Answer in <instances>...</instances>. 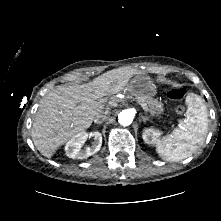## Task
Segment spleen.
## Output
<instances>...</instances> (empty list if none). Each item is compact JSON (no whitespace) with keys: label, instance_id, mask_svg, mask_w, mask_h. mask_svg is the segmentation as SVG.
<instances>
[{"label":"spleen","instance_id":"spleen-1","mask_svg":"<svg viewBox=\"0 0 221 221\" xmlns=\"http://www.w3.org/2000/svg\"><path fill=\"white\" fill-rule=\"evenodd\" d=\"M185 119L171 134L158 141L156 151L165 161H180L190 157L203 145L208 130V113L202 98L190 93L185 99Z\"/></svg>","mask_w":221,"mask_h":221}]
</instances>
